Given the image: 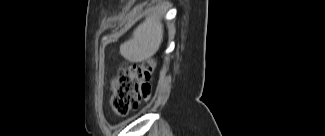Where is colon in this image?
Returning a JSON list of instances; mask_svg holds the SVG:
<instances>
[{"label": "colon", "mask_w": 325, "mask_h": 136, "mask_svg": "<svg viewBox=\"0 0 325 136\" xmlns=\"http://www.w3.org/2000/svg\"><path fill=\"white\" fill-rule=\"evenodd\" d=\"M153 69L152 62L118 69L110 83V106L114 113L126 115L137 106L138 101L148 99Z\"/></svg>", "instance_id": "5ec220e1"}]
</instances>
